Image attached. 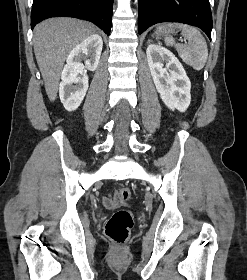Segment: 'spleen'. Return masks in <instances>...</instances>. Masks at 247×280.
<instances>
[{
    "instance_id": "1",
    "label": "spleen",
    "mask_w": 247,
    "mask_h": 280,
    "mask_svg": "<svg viewBox=\"0 0 247 280\" xmlns=\"http://www.w3.org/2000/svg\"><path fill=\"white\" fill-rule=\"evenodd\" d=\"M167 27L179 28L182 35L188 40V44H176L172 37H166L165 42L169 46H174L181 59L193 69L201 70L208 58L207 43L198 29L186 24L174 23Z\"/></svg>"
}]
</instances>
